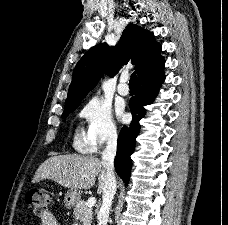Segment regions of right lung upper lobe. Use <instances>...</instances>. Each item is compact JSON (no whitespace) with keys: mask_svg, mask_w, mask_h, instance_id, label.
I'll list each match as a JSON object with an SVG mask.
<instances>
[{"mask_svg":"<svg viewBox=\"0 0 228 225\" xmlns=\"http://www.w3.org/2000/svg\"><path fill=\"white\" fill-rule=\"evenodd\" d=\"M160 52L161 45L153 39L151 32L136 24L127 25L116 46L97 44L79 60L73 72L65 107L80 103L105 71L113 77L121 66L131 61L138 74L159 58Z\"/></svg>","mask_w":228,"mask_h":225,"instance_id":"cb5924a9","label":"right lung upper lobe"}]
</instances>
